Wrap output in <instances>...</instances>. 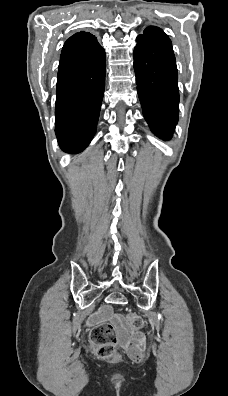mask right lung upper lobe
Masks as SVG:
<instances>
[{
  "label": "right lung upper lobe",
  "instance_id": "1",
  "mask_svg": "<svg viewBox=\"0 0 228 396\" xmlns=\"http://www.w3.org/2000/svg\"><path fill=\"white\" fill-rule=\"evenodd\" d=\"M74 40L75 47L78 50H86L95 47L97 39L92 34L88 32H79L71 36L67 41Z\"/></svg>",
  "mask_w": 228,
  "mask_h": 396
}]
</instances>
